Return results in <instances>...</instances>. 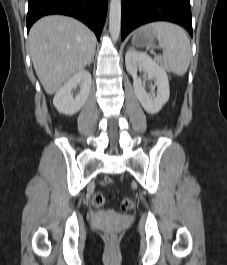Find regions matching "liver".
I'll list each match as a JSON object with an SVG mask.
<instances>
[{
    "instance_id": "liver-1",
    "label": "liver",
    "mask_w": 227,
    "mask_h": 265,
    "mask_svg": "<svg viewBox=\"0 0 227 265\" xmlns=\"http://www.w3.org/2000/svg\"><path fill=\"white\" fill-rule=\"evenodd\" d=\"M28 45L35 72L51 95L89 63L95 53V36L74 18L52 15L32 26Z\"/></svg>"
}]
</instances>
